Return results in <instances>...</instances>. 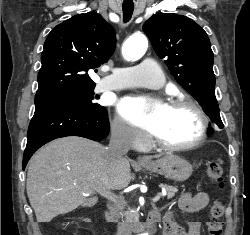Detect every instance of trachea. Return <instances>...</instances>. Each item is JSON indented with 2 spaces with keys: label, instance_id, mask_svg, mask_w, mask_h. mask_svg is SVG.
Segmentation results:
<instances>
[{
  "label": "trachea",
  "instance_id": "3493384b",
  "mask_svg": "<svg viewBox=\"0 0 250 235\" xmlns=\"http://www.w3.org/2000/svg\"><path fill=\"white\" fill-rule=\"evenodd\" d=\"M122 9H123V21L124 23H127L131 17H132V14H133V11H134V6L131 5V6H122Z\"/></svg>",
  "mask_w": 250,
  "mask_h": 235
}]
</instances>
